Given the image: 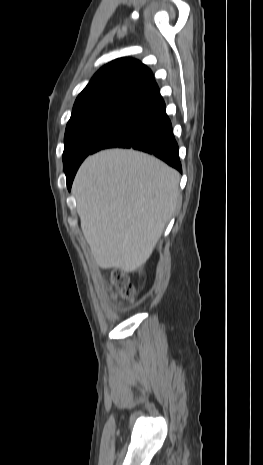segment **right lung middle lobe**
<instances>
[{"label":"right lung middle lobe","mask_w":263,"mask_h":465,"mask_svg":"<svg viewBox=\"0 0 263 465\" xmlns=\"http://www.w3.org/2000/svg\"><path fill=\"white\" fill-rule=\"evenodd\" d=\"M137 101L108 98L73 108L64 138L63 165L66 176L79 167L98 141Z\"/></svg>","instance_id":"dd1d6c3e"}]
</instances>
